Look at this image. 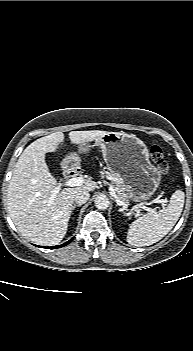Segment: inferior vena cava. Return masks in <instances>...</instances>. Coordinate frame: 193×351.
<instances>
[{
	"mask_svg": "<svg viewBox=\"0 0 193 351\" xmlns=\"http://www.w3.org/2000/svg\"><path fill=\"white\" fill-rule=\"evenodd\" d=\"M89 197H90V194L88 191L86 190H81L79 191L76 195H75V198H74V201L77 203V204H84L86 203L88 200H89Z\"/></svg>",
	"mask_w": 193,
	"mask_h": 351,
	"instance_id": "obj_1",
	"label": "inferior vena cava"
}]
</instances>
